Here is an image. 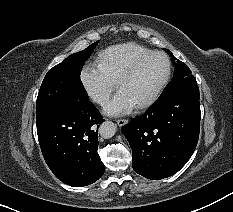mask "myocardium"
I'll use <instances>...</instances> for the list:
<instances>
[{"label": "myocardium", "instance_id": "f54148a6", "mask_svg": "<svg viewBox=\"0 0 233 212\" xmlns=\"http://www.w3.org/2000/svg\"><path fill=\"white\" fill-rule=\"evenodd\" d=\"M161 56L165 59L166 62V73L160 84L157 86L155 91L143 102L139 103L138 105L135 106L136 109L141 110L145 109L149 106H151L160 96L162 91L164 90L165 86L169 82L170 76H171V71H172V64L169 56L165 54L164 52L161 51H150L139 58H137L126 70L125 72L120 76V78L117 81V88L119 89L120 86L129 80L133 75L137 72L138 68L141 66V64L150 58L151 56Z\"/></svg>", "mask_w": 233, "mask_h": 212}]
</instances>
